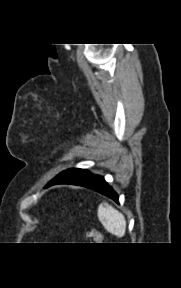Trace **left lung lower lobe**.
<instances>
[{
	"mask_svg": "<svg viewBox=\"0 0 181 288\" xmlns=\"http://www.w3.org/2000/svg\"><path fill=\"white\" fill-rule=\"evenodd\" d=\"M55 184H60L57 183L56 181H50L45 188L50 187L52 185ZM74 185H78V186H83L89 189H93L109 198H111L112 200H114L116 203H119V197L117 195V193L112 189L111 186L108 185V183L104 180V178L102 176H98V175H90L87 178H85L84 180L74 184Z\"/></svg>",
	"mask_w": 181,
	"mask_h": 288,
	"instance_id": "left-lung-lower-lobe-1",
	"label": "left lung lower lobe"
}]
</instances>
